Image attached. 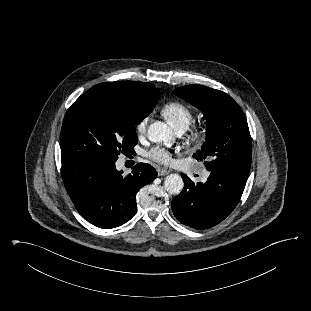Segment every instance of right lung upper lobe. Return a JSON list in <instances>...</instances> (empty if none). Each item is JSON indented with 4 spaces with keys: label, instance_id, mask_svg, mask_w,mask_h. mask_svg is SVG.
<instances>
[{
    "label": "right lung upper lobe",
    "instance_id": "obj_1",
    "mask_svg": "<svg viewBox=\"0 0 311 311\" xmlns=\"http://www.w3.org/2000/svg\"><path fill=\"white\" fill-rule=\"evenodd\" d=\"M112 83H115L116 85L122 88L134 91L141 95L152 94L155 93L156 91H159V89L155 88L152 83H144L136 81H117Z\"/></svg>",
    "mask_w": 311,
    "mask_h": 311
}]
</instances>
